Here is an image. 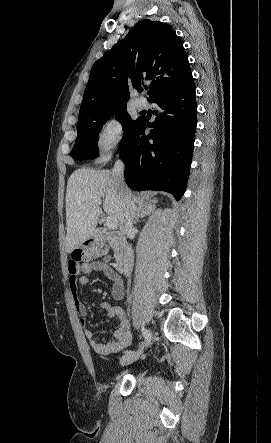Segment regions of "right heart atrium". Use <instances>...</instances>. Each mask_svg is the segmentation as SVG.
Instances as JSON below:
<instances>
[{
	"mask_svg": "<svg viewBox=\"0 0 271 443\" xmlns=\"http://www.w3.org/2000/svg\"><path fill=\"white\" fill-rule=\"evenodd\" d=\"M124 136V124L117 116L105 119L95 137L94 149L98 158L110 157L120 146Z\"/></svg>",
	"mask_w": 271,
	"mask_h": 443,
	"instance_id": "d8ad5b80",
	"label": "right heart atrium"
}]
</instances>
